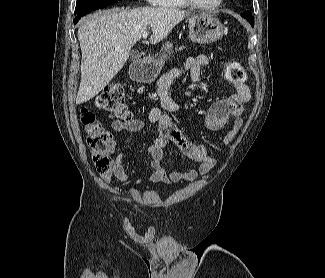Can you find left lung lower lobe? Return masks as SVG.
Listing matches in <instances>:
<instances>
[{
	"label": "left lung lower lobe",
	"instance_id": "left-lung-lower-lobe-1",
	"mask_svg": "<svg viewBox=\"0 0 325 278\" xmlns=\"http://www.w3.org/2000/svg\"><path fill=\"white\" fill-rule=\"evenodd\" d=\"M242 17L246 18V20L254 26V18L252 17V14L249 11H246L241 14Z\"/></svg>",
	"mask_w": 325,
	"mask_h": 278
}]
</instances>
